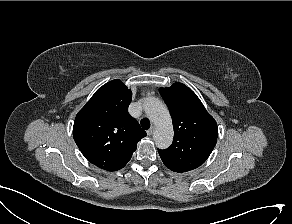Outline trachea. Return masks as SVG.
<instances>
[{"mask_svg": "<svg viewBox=\"0 0 292 224\" xmlns=\"http://www.w3.org/2000/svg\"><path fill=\"white\" fill-rule=\"evenodd\" d=\"M140 123L144 130H148L150 128V121L147 118L142 119Z\"/></svg>", "mask_w": 292, "mask_h": 224, "instance_id": "3493384b", "label": "trachea"}]
</instances>
